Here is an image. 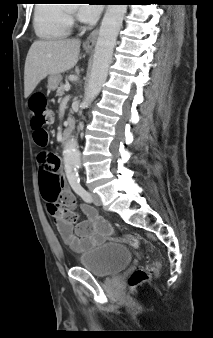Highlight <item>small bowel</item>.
<instances>
[{
	"mask_svg": "<svg viewBox=\"0 0 213 338\" xmlns=\"http://www.w3.org/2000/svg\"><path fill=\"white\" fill-rule=\"evenodd\" d=\"M44 157L47 160L48 167H58L59 159L55 155L46 152ZM56 175L58 185L64 190V212L61 215L57 214L55 216L57 229L64 242L69 245L75 253H83L96 245L110 240L112 231L109 223L98 215L95 208L88 204L81 205V211L86 217L84 220L77 218L75 222H70L65 218L67 213H75L76 199L74 194L69 191L63 173H56ZM39 178L42 188L46 190V181L43 178V172H40Z\"/></svg>",
	"mask_w": 213,
	"mask_h": 338,
	"instance_id": "1",
	"label": "small bowel"
}]
</instances>
